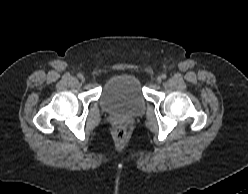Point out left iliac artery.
I'll list each match as a JSON object with an SVG mask.
<instances>
[{
  "label": "left iliac artery",
  "mask_w": 248,
  "mask_h": 194,
  "mask_svg": "<svg viewBox=\"0 0 248 194\" xmlns=\"http://www.w3.org/2000/svg\"><path fill=\"white\" fill-rule=\"evenodd\" d=\"M167 75L166 74H162V78L166 79Z\"/></svg>",
  "instance_id": "left-iliac-artery-1"
}]
</instances>
